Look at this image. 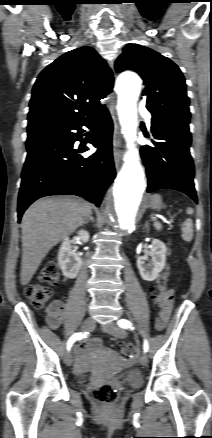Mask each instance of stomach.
<instances>
[{"mask_svg":"<svg viewBox=\"0 0 212 438\" xmlns=\"http://www.w3.org/2000/svg\"><path fill=\"white\" fill-rule=\"evenodd\" d=\"M148 204L153 209H160L163 207L162 198L158 194H153L148 198Z\"/></svg>","mask_w":212,"mask_h":438,"instance_id":"obj_1","label":"stomach"}]
</instances>
